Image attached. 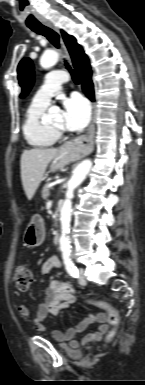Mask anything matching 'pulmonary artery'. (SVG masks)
Instances as JSON below:
<instances>
[{"mask_svg":"<svg viewBox=\"0 0 145 385\" xmlns=\"http://www.w3.org/2000/svg\"><path fill=\"white\" fill-rule=\"evenodd\" d=\"M69 76L62 70H55L46 75L45 82L33 97V102L48 105L51 98L56 95Z\"/></svg>","mask_w":145,"mask_h":385,"instance_id":"obj_1","label":"pulmonary artery"}]
</instances>
